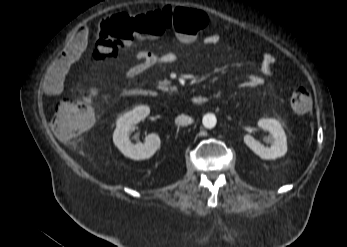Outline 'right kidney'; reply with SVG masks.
Here are the masks:
<instances>
[{
  "instance_id": "1",
  "label": "right kidney",
  "mask_w": 347,
  "mask_h": 247,
  "mask_svg": "<svg viewBox=\"0 0 347 247\" xmlns=\"http://www.w3.org/2000/svg\"><path fill=\"white\" fill-rule=\"evenodd\" d=\"M150 113L148 106H139L117 119L116 129L113 133V142L123 155L134 160H145L154 155L160 147V138L156 134H150L144 143L134 145L129 139L131 127L145 119Z\"/></svg>"
}]
</instances>
